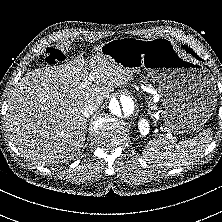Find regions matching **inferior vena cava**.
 <instances>
[{"mask_svg": "<svg viewBox=\"0 0 222 222\" xmlns=\"http://www.w3.org/2000/svg\"><path fill=\"white\" fill-rule=\"evenodd\" d=\"M99 108V105L93 101H88L85 103L83 109H82V114L85 117L90 116L93 114L97 109Z\"/></svg>", "mask_w": 222, "mask_h": 222, "instance_id": "inferior-vena-cava-1", "label": "inferior vena cava"}]
</instances>
